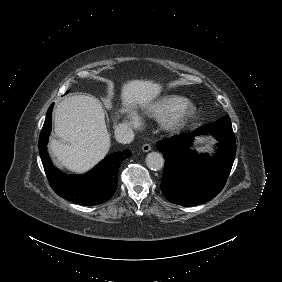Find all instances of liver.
Returning a JSON list of instances; mask_svg holds the SVG:
<instances>
[{
	"label": "liver",
	"instance_id": "obj_1",
	"mask_svg": "<svg viewBox=\"0 0 282 282\" xmlns=\"http://www.w3.org/2000/svg\"><path fill=\"white\" fill-rule=\"evenodd\" d=\"M165 85L155 80L131 78L118 87V118L150 107L162 95ZM54 132L48 146L54 161L66 171L83 175L95 168L109 153L112 140L102 107L85 95L64 98L54 113Z\"/></svg>",
	"mask_w": 282,
	"mask_h": 282
}]
</instances>
